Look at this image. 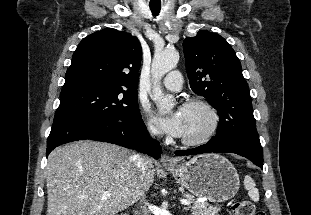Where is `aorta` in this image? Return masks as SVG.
Returning <instances> with one entry per match:
<instances>
[{"label":"aorta","mask_w":311,"mask_h":215,"mask_svg":"<svg viewBox=\"0 0 311 215\" xmlns=\"http://www.w3.org/2000/svg\"><path fill=\"white\" fill-rule=\"evenodd\" d=\"M178 61L179 53L174 49L155 53L152 61L153 94L151 98L161 113H167L173 108L174 99L171 96H164L160 87V80L167 72L176 67Z\"/></svg>","instance_id":"762f6f07"}]
</instances>
